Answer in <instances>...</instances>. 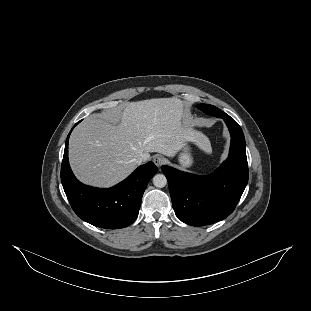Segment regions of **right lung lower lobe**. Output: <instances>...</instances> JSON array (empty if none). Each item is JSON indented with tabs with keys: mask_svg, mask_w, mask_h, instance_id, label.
Wrapping results in <instances>:
<instances>
[{
	"mask_svg": "<svg viewBox=\"0 0 311 311\" xmlns=\"http://www.w3.org/2000/svg\"><path fill=\"white\" fill-rule=\"evenodd\" d=\"M70 133L61 166V182L74 212L82 220L100 228L119 229L132 224L138 216L145 188L157 172L155 164L141 165L125 180L108 189L84 185L76 179L69 165Z\"/></svg>",
	"mask_w": 311,
	"mask_h": 311,
	"instance_id": "obj_1",
	"label": "right lung lower lobe"
}]
</instances>
